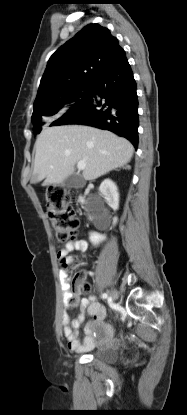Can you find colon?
<instances>
[{"label":"colon","mask_w":187,"mask_h":415,"mask_svg":"<svg viewBox=\"0 0 187 415\" xmlns=\"http://www.w3.org/2000/svg\"><path fill=\"white\" fill-rule=\"evenodd\" d=\"M48 214L55 230L59 244H68L80 227V219L77 216L73 205L70 190L59 184L50 185L48 188ZM69 262L63 260V265ZM74 264L78 265L79 260L75 258ZM80 287L78 277L73 283V292Z\"/></svg>","instance_id":"5ec220e1"}]
</instances>
